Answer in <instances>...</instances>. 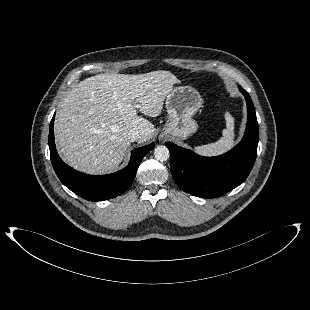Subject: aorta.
Wrapping results in <instances>:
<instances>
[{
  "label": "aorta",
  "instance_id": "obj_1",
  "mask_svg": "<svg viewBox=\"0 0 310 310\" xmlns=\"http://www.w3.org/2000/svg\"><path fill=\"white\" fill-rule=\"evenodd\" d=\"M154 157L156 160L161 161V162L167 161L170 157L168 148L164 145L157 146L154 149Z\"/></svg>",
  "mask_w": 310,
  "mask_h": 310
}]
</instances>
